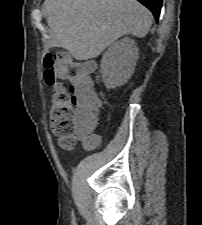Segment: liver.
<instances>
[{
  "instance_id": "6515ba94",
  "label": "liver",
  "mask_w": 202,
  "mask_h": 225,
  "mask_svg": "<svg viewBox=\"0 0 202 225\" xmlns=\"http://www.w3.org/2000/svg\"><path fill=\"white\" fill-rule=\"evenodd\" d=\"M50 46L76 60L99 56L124 35L143 38L152 24L149 10L136 0H45Z\"/></svg>"
}]
</instances>
